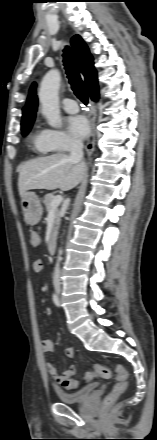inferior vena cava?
<instances>
[{
	"label": "inferior vena cava",
	"instance_id": "obj_1",
	"mask_svg": "<svg viewBox=\"0 0 157 440\" xmlns=\"http://www.w3.org/2000/svg\"><path fill=\"white\" fill-rule=\"evenodd\" d=\"M83 159V142L80 139H75L72 143L71 147V154H70V160L73 163H81ZM61 250H59V255L57 257V263L53 275V284L55 289L60 290V261L62 260L61 256Z\"/></svg>",
	"mask_w": 157,
	"mask_h": 440
}]
</instances>
